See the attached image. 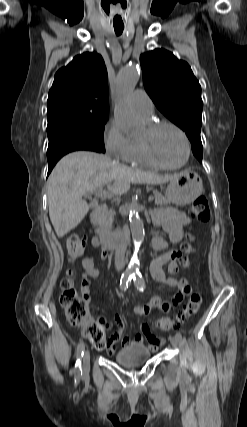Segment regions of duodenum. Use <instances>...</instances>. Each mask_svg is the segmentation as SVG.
Wrapping results in <instances>:
<instances>
[{
  "instance_id": "duodenum-1",
  "label": "duodenum",
  "mask_w": 247,
  "mask_h": 427,
  "mask_svg": "<svg viewBox=\"0 0 247 427\" xmlns=\"http://www.w3.org/2000/svg\"><path fill=\"white\" fill-rule=\"evenodd\" d=\"M106 211L105 205H99L91 214V222L95 231V238L98 243L106 250H113L116 247L115 238L103 231L101 227V220ZM128 229L127 227L125 228Z\"/></svg>"
}]
</instances>
